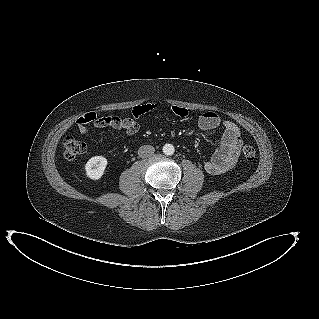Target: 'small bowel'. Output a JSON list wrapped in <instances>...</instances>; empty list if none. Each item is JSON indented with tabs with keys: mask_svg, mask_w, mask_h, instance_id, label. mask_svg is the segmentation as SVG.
<instances>
[{
	"mask_svg": "<svg viewBox=\"0 0 319 319\" xmlns=\"http://www.w3.org/2000/svg\"><path fill=\"white\" fill-rule=\"evenodd\" d=\"M155 110V104L147 103L134 107L131 117H97L95 115L91 123L97 128L111 127L124 130L127 135H134L140 128L138 119ZM171 110L176 116L181 118L188 115V109L182 106H173ZM87 124H77L80 133L86 134L89 132ZM221 125L223 126V134L220 145L204 166L205 170L210 174H221L232 169L238 160L242 147L240 130L234 122L229 120L222 121L215 112H206L198 119V126L203 131L214 130Z\"/></svg>",
	"mask_w": 319,
	"mask_h": 319,
	"instance_id": "1",
	"label": "small bowel"
}]
</instances>
